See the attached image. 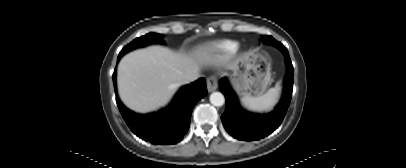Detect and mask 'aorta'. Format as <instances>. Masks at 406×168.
<instances>
[{"instance_id": "obj_1", "label": "aorta", "mask_w": 406, "mask_h": 168, "mask_svg": "<svg viewBox=\"0 0 406 168\" xmlns=\"http://www.w3.org/2000/svg\"><path fill=\"white\" fill-rule=\"evenodd\" d=\"M210 102L214 106L220 107L225 103L224 95L220 92H213L210 95Z\"/></svg>"}]
</instances>
